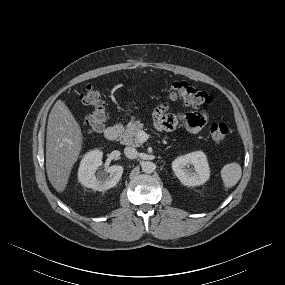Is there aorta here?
Wrapping results in <instances>:
<instances>
[{"mask_svg":"<svg viewBox=\"0 0 285 285\" xmlns=\"http://www.w3.org/2000/svg\"><path fill=\"white\" fill-rule=\"evenodd\" d=\"M141 167L142 171L147 174L153 173L156 169V165L150 161L143 162Z\"/></svg>","mask_w":285,"mask_h":285,"instance_id":"obj_1","label":"aorta"}]
</instances>
